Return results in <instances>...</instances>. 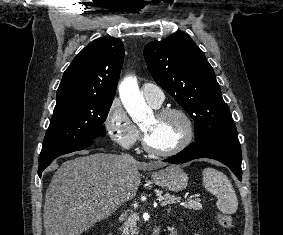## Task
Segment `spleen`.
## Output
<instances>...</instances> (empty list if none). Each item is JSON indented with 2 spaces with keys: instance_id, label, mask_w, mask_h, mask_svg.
<instances>
[{
  "instance_id": "obj_1",
  "label": "spleen",
  "mask_w": 283,
  "mask_h": 235,
  "mask_svg": "<svg viewBox=\"0 0 283 235\" xmlns=\"http://www.w3.org/2000/svg\"><path fill=\"white\" fill-rule=\"evenodd\" d=\"M202 176L205 189L217 197V208L224 214H234L238 200L228 177L214 168H205Z\"/></svg>"
}]
</instances>
